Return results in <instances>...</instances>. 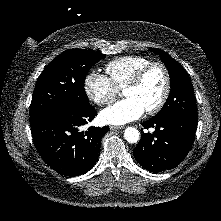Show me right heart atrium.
Listing matches in <instances>:
<instances>
[{"label": "right heart atrium", "instance_id": "d8ad5b80", "mask_svg": "<svg viewBox=\"0 0 221 221\" xmlns=\"http://www.w3.org/2000/svg\"><path fill=\"white\" fill-rule=\"evenodd\" d=\"M84 91L90 101L103 106L113 102L119 89L105 75L91 71L85 77Z\"/></svg>", "mask_w": 221, "mask_h": 221}]
</instances>
